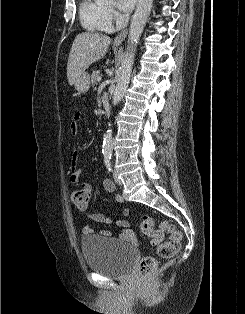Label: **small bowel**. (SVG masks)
I'll list each match as a JSON object with an SVG mask.
<instances>
[{"label":"small bowel","mask_w":245,"mask_h":314,"mask_svg":"<svg viewBox=\"0 0 245 314\" xmlns=\"http://www.w3.org/2000/svg\"><path fill=\"white\" fill-rule=\"evenodd\" d=\"M81 119V114L77 112L74 115L73 121L70 125V130L73 134H76L78 132V122ZM79 161V152L77 150H73L71 154V161H70V182L74 185H80L83 190H86L89 195L94 190V187L92 184L88 182H82L80 180V169L78 166ZM102 187L107 192H114L115 191V184L110 179H103L102 181ZM116 201L119 203H124V199L120 195H116L115 197ZM127 209L124 210V214H127ZM88 217L90 220L96 223H104V224H115L118 227H121V231L118 234V239L125 243H131L135 244L137 242V238L133 230L128 228V222L124 218H118V219H112L109 217H106L103 213H90L88 214ZM94 233V229L86 225L83 228V234L89 235ZM103 236L110 237L111 232L107 230H102L99 232Z\"/></svg>","instance_id":"c3829d8e"}]
</instances>
